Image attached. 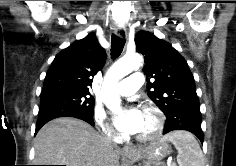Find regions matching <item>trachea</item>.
<instances>
[{
    "mask_svg": "<svg viewBox=\"0 0 236 166\" xmlns=\"http://www.w3.org/2000/svg\"><path fill=\"white\" fill-rule=\"evenodd\" d=\"M125 40L116 35L111 36V56L113 59L117 58L123 51Z\"/></svg>",
    "mask_w": 236,
    "mask_h": 166,
    "instance_id": "1",
    "label": "trachea"
}]
</instances>
